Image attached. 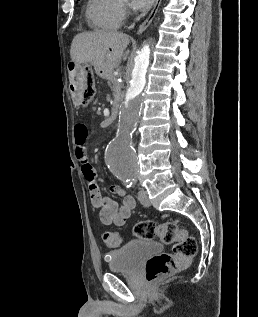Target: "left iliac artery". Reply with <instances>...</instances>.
Returning a JSON list of instances; mask_svg holds the SVG:
<instances>
[{"mask_svg":"<svg viewBox=\"0 0 258 317\" xmlns=\"http://www.w3.org/2000/svg\"><path fill=\"white\" fill-rule=\"evenodd\" d=\"M128 181L132 186H136L137 179L135 177L128 178Z\"/></svg>","mask_w":258,"mask_h":317,"instance_id":"left-iliac-artery-1","label":"left iliac artery"}]
</instances>
